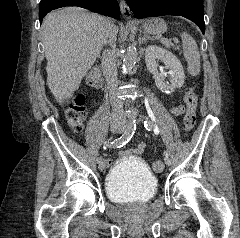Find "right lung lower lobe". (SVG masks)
Listing matches in <instances>:
<instances>
[{
    "instance_id": "obj_1",
    "label": "right lung lower lobe",
    "mask_w": 240,
    "mask_h": 238,
    "mask_svg": "<svg viewBox=\"0 0 240 238\" xmlns=\"http://www.w3.org/2000/svg\"><path fill=\"white\" fill-rule=\"evenodd\" d=\"M65 6H79L116 19L119 18L120 14L117 0H50L45 6L39 8L40 22L51 10Z\"/></svg>"
}]
</instances>
